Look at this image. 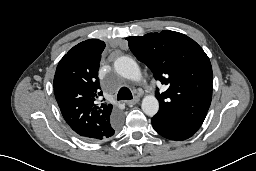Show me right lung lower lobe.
Here are the masks:
<instances>
[{"mask_svg":"<svg viewBox=\"0 0 256 171\" xmlns=\"http://www.w3.org/2000/svg\"><path fill=\"white\" fill-rule=\"evenodd\" d=\"M120 123H121V117H120V115H116V116L111 120L110 126H111V129H112L113 134L115 133V130L119 128Z\"/></svg>","mask_w":256,"mask_h":171,"instance_id":"right-lung-lower-lobe-1","label":"right lung lower lobe"}]
</instances>
